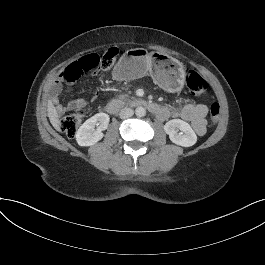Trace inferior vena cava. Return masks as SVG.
Instances as JSON below:
<instances>
[{
  "mask_svg": "<svg viewBox=\"0 0 265 265\" xmlns=\"http://www.w3.org/2000/svg\"><path fill=\"white\" fill-rule=\"evenodd\" d=\"M134 114V111L131 108L125 107L120 112V118L121 119H128L132 117Z\"/></svg>",
  "mask_w": 265,
  "mask_h": 265,
  "instance_id": "inferior-vena-cava-1",
  "label": "inferior vena cava"
}]
</instances>
